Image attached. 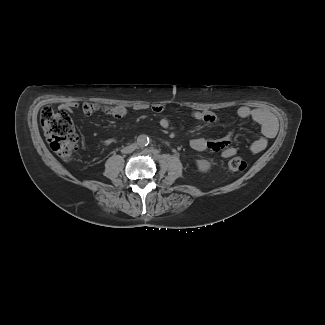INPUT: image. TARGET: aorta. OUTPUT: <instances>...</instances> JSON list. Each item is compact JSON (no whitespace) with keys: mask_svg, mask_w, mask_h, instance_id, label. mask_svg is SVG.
Here are the masks:
<instances>
[{"mask_svg":"<svg viewBox=\"0 0 325 325\" xmlns=\"http://www.w3.org/2000/svg\"><path fill=\"white\" fill-rule=\"evenodd\" d=\"M149 142H150L149 137L145 134L139 135L137 138V145L140 148H144V147L148 146Z\"/></svg>","mask_w":325,"mask_h":325,"instance_id":"762f6f07","label":"aorta"}]
</instances>
